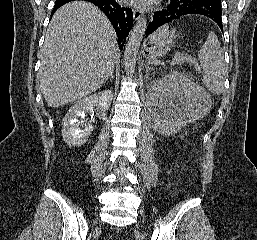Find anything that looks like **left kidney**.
Here are the masks:
<instances>
[{"instance_id":"obj_1","label":"left kidney","mask_w":257,"mask_h":240,"mask_svg":"<svg viewBox=\"0 0 257 240\" xmlns=\"http://www.w3.org/2000/svg\"><path fill=\"white\" fill-rule=\"evenodd\" d=\"M144 103L151 127L163 134H174L207 113L209 95L191 79L169 74L148 86Z\"/></svg>"}]
</instances>
